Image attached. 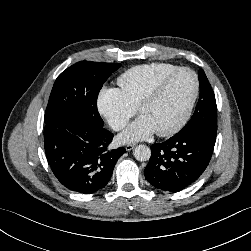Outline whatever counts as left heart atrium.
Masks as SVG:
<instances>
[{
	"instance_id": "1",
	"label": "left heart atrium",
	"mask_w": 251,
	"mask_h": 251,
	"mask_svg": "<svg viewBox=\"0 0 251 251\" xmlns=\"http://www.w3.org/2000/svg\"><path fill=\"white\" fill-rule=\"evenodd\" d=\"M155 132L148 119L140 115L128 128L120 135L121 142H136L150 137Z\"/></svg>"
}]
</instances>
